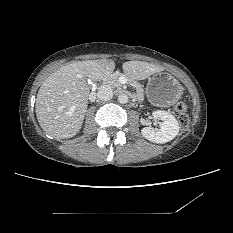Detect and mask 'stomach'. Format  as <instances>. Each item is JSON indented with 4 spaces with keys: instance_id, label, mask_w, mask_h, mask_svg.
Wrapping results in <instances>:
<instances>
[{
    "instance_id": "stomach-1",
    "label": "stomach",
    "mask_w": 233,
    "mask_h": 233,
    "mask_svg": "<svg viewBox=\"0 0 233 233\" xmlns=\"http://www.w3.org/2000/svg\"><path fill=\"white\" fill-rule=\"evenodd\" d=\"M146 94L152 103L159 106H170L181 97L182 87L170 73L161 71L149 78Z\"/></svg>"
}]
</instances>
